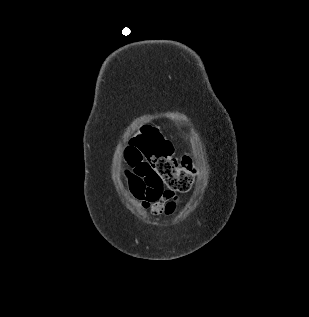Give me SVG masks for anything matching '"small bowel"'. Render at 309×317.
<instances>
[{"label":"small bowel","instance_id":"small-bowel-1","mask_svg":"<svg viewBox=\"0 0 309 317\" xmlns=\"http://www.w3.org/2000/svg\"><path fill=\"white\" fill-rule=\"evenodd\" d=\"M127 164L123 176L130 194L153 216L172 215L177 206L175 193L163 189V185L145 160L138 164L127 161Z\"/></svg>","mask_w":309,"mask_h":317}]
</instances>
